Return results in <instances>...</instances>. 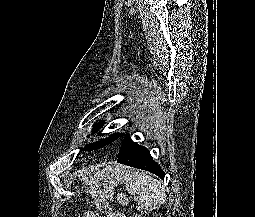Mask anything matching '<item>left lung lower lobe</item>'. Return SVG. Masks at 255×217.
<instances>
[{
    "instance_id": "left-lung-lower-lobe-1",
    "label": "left lung lower lobe",
    "mask_w": 255,
    "mask_h": 217,
    "mask_svg": "<svg viewBox=\"0 0 255 217\" xmlns=\"http://www.w3.org/2000/svg\"><path fill=\"white\" fill-rule=\"evenodd\" d=\"M117 157L118 163L149 171L164 179L163 170L153 161L148 149L133 142L128 134L123 139Z\"/></svg>"
}]
</instances>
